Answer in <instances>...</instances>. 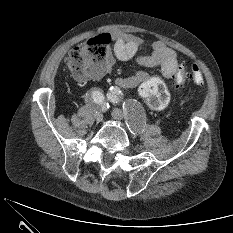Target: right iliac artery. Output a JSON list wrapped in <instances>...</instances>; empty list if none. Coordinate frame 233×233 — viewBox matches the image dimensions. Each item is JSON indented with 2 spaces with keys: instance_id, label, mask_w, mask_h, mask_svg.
Wrapping results in <instances>:
<instances>
[{
  "instance_id": "right-iliac-artery-1",
  "label": "right iliac artery",
  "mask_w": 233,
  "mask_h": 233,
  "mask_svg": "<svg viewBox=\"0 0 233 233\" xmlns=\"http://www.w3.org/2000/svg\"><path fill=\"white\" fill-rule=\"evenodd\" d=\"M86 102L90 105L97 106V108H101L102 110L107 108V104L105 102L104 95L98 91L93 90L86 94Z\"/></svg>"
}]
</instances>
